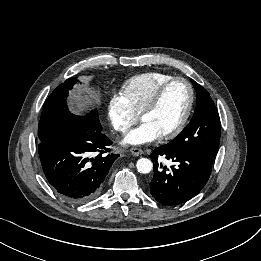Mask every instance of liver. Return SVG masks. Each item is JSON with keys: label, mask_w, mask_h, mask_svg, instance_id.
<instances>
[{"label": "liver", "mask_w": 261, "mask_h": 261, "mask_svg": "<svg viewBox=\"0 0 261 261\" xmlns=\"http://www.w3.org/2000/svg\"><path fill=\"white\" fill-rule=\"evenodd\" d=\"M97 96L87 90H77L72 93V110L80 112L84 107L94 103Z\"/></svg>", "instance_id": "obj_1"}]
</instances>
